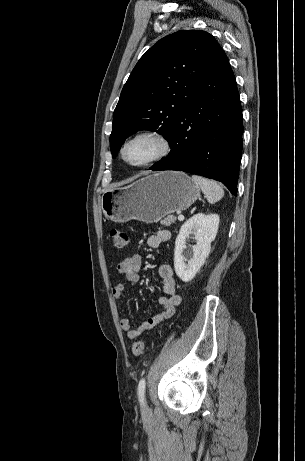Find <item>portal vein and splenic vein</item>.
Masks as SVG:
<instances>
[{
	"label": "portal vein and splenic vein",
	"mask_w": 305,
	"mask_h": 461,
	"mask_svg": "<svg viewBox=\"0 0 305 461\" xmlns=\"http://www.w3.org/2000/svg\"><path fill=\"white\" fill-rule=\"evenodd\" d=\"M178 214H179V215H178V220L183 221V220H184V216H183L182 214H180V213H178Z\"/></svg>",
	"instance_id": "portal-vein-and-splenic-vein-1"
}]
</instances>
